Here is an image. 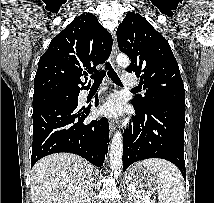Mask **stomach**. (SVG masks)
Returning <instances> with one entry per match:
<instances>
[{"mask_svg":"<svg viewBox=\"0 0 214 203\" xmlns=\"http://www.w3.org/2000/svg\"><path fill=\"white\" fill-rule=\"evenodd\" d=\"M127 180L135 191L145 196H149L158 190V177L140 163L130 167Z\"/></svg>","mask_w":214,"mask_h":203,"instance_id":"1","label":"stomach"}]
</instances>
